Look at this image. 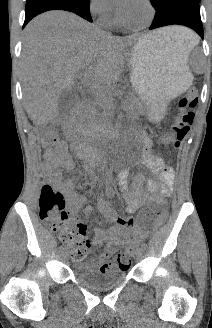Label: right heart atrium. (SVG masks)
Here are the masks:
<instances>
[{
	"mask_svg": "<svg viewBox=\"0 0 212 328\" xmlns=\"http://www.w3.org/2000/svg\"><path fill=\"white\" fill-rule=\"evenodd\" d=\"M89 8L91 13L96 15L101 22L108 21L113 11V6L109 0H90Z\"/></svg>",
	"mask_w": 212,
	"mask_h": 328,
	"instance_id": "right-heart-atrium-1",
	"label": "right heart atrium"
}]
</instances>
